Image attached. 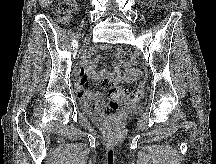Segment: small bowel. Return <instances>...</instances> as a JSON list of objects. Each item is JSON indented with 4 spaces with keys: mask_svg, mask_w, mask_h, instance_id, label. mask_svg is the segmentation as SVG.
<instances>
[{
    "mask_svg": "<svg viewBox=\"0 0 216 164\" xmlns=\"http://www.w3.org/2000/svg\"><path fill=\"white\" fill-rule=\"evenodd\" d=\"M116 53L118 63L114 65L112 71H96L94 67L97 58H92L87 59L74 74L77 93L83 107L88 113L95 117L113 113L117 109V103L115 101H110L105 104L100 92L87 88L88 78L96 82H102L104 79H107L117 84L133 81L138 76V71L129 62L123 59L124 50L118 47ZM120 66L124 68L125 74L120 73Z\"/></svg>",
    "mask_w": 216,
    "mask_h": 164,
    "instance_id": "small-bowel-1",
    "label": "small bowel"
}]
</instances>
